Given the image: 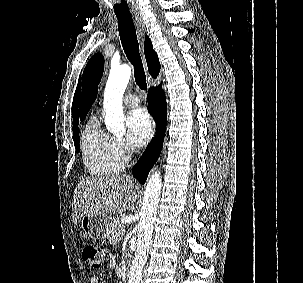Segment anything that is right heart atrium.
I'll return each mask as SVG.
<instances>
[{"label": "right heart atrium", "mask_w": 303, "mask_h": 283, "mask_svg": "<svg viewBox=\"0 0 303 283\" xmlns=\"http://www.w3.org/2000/svg\"><path fill=\"white\" fill-rule=\"evenodd\" d=\"M113 140H114L115 149L119 154V156L122 158L124 162L128 161L132 153L129 144L122 137H113Z\"/></svg>", "instance_id": "obj_1"}]
</instances>
